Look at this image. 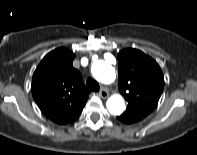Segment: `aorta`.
<instances>
[{"instance_id":"obj_1","label":"aorta","mask_w":197,"mask_h":155,"mask_svg":"<svg viewBox=\"0 0 197 155\" xmlns=\"http://www.w3.org/2000/svg\"><path fill=\"white\" fill-rule=\"evenodd\" d=\"M91 72L98 81L104 84L112 83L116 77L114 67L102 60L92 64ZM106 106L112 115H120L125 109V102L121 95L115 94L107 100Z\"/></svg>"}]
</instances>
